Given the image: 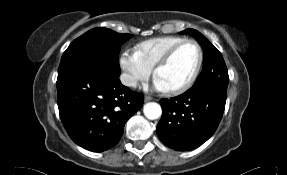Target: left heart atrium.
<instances>
[{
  "label": "left heart atrium",
  "instance_id": "obj_1",
  "mask_svg": "<svg viewBox=\"0 0 287 175\" xmlns=\"http://www.w3.org/2000/svg\"><path fill=\"white\" fill-rule=\"evenodd\" d=\"M154 87H155V89H157L159 91H166L167 90L164 83L157 77L154 80Z\"/></svg>",
  "mask_w": 287,
  "mask_h": 175
}]
</instances>
